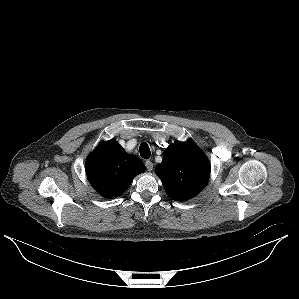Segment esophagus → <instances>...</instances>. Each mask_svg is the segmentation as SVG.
<instances>
[{
    "instance_id": "1",
    "label": "esophagus",
    "mask_w": 299,
    "mask_h": 299,
    "mask_svg": "<svg viewBox=\"0 0 299 299\" xmlns=\"http://www.w3.org/2000/svg\"><path fill=\"white\" fill-rule=\"evenodd\" d=\"M145 166H146V168H147V170L150 172V171H152V169H153V163L150 161V160H147L146 162H145Z\"/></svg>"
}]
</instances>
